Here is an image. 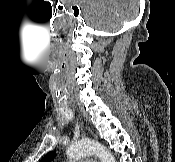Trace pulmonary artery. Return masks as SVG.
<instances>
[{
  "mask_svg": "<svg viewBox=\"0 0 175 162\" xmlns=\"http://www.w3.org/2000/svg\"><path fill=\"white\" fill-rule=\"evenodd\" d=\"M69 162H91L90 160H71Z\"/></svg>",
  "mask_w": 175,
  "mask_h": 162,
  "instance_id": "pulmonary-artery-1",
  "label": "pulmonary artery"
}]
</instances>
